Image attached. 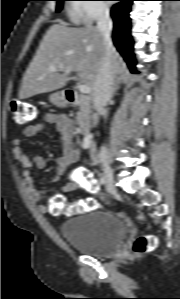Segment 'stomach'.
Wrapping results in <instances>:
<instances>
[{
  "instance_id": "0dacf381",
  "label": "stomach",
  "mask_w": 180,
  "mask_h": 299,
  "mask_svg": "<svg viewBox=\"0 0 180 299\" xmlns=\"http://www.w3.org/2000/svg\"><path fill=\"white\" fill-rule=\"evenodd\" d=\"M49 101L57 107H65L68 104V100L63 91L52 93L49 96Z\"/></svg>"
}]
</instances>
